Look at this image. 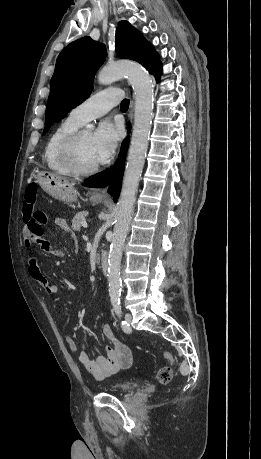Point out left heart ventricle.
Wrapping results in <instances>:
<instances>
[{"label":"left heart ventricle","instance_id":"left-heart-ventricle-1","mask_svg":"<svg viewBox=\"0 0 261 459\" xmlns=\"http://www.w3.org/2000/svg\"><path fill=\"white\" fill-rule=\"evenodd\" d=\"M79 159L80 163L84 167H92L98 164L95 159L93 133L91 131L84 130L81 135L79 143Z\"/></svg>","mask_w":261,"mask_h":459}]
</instances>
